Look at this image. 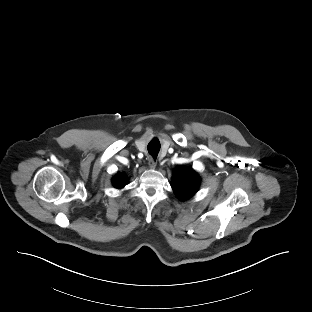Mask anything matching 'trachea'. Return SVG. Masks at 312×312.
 <instances>
[{
	"label": "trachea",
	"instance_id": "1",
	"mask_svg": "<svg viewBox=\"0 0 312 312\" xmlns=\"http://www.w3.org/2000/svg\"><path fill=\"white\" fill-rule=\"evenodd\" d=\"M148 152L153 156L154 160H156L157 155L160 151V143L158 139H153L149 142L147 146Z\"/></svg>",
	"mask_w": 312,
	"mask_h": 312
}]
</instances>
